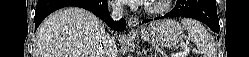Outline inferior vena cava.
<instances>
[{"mask_svg": "<svg viewBox=\"0 0 249 57\" xmlns=\"http://www.w3.org/2000/svg\"><path fill=\"white\" fill-rule=\"evenodd\" d=\"M111 17L114 20H119L123 16L122 3L119 1H112L110 3ZM117 47L115 39L109 34L104 33L101 37V57H116Z\"/></svg>", "mask_w": 249, "mask_h": 57, "instance_id": "1", "label": "inferior vena cava"}]
</instances>
